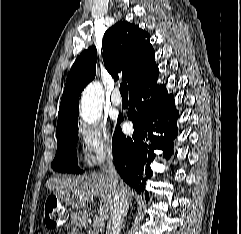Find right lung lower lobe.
Returning <instances> with one entry per match:
<instances>
[{"mask_svg":"<svg viewBox=\"0 0 241 234\" xmlns=\"http://www.w3.org/2000/svg\"><path fill=\"white\" fill-rule=\"evenodd\" d=\"M158 67L145 80L129 91L128 119L133 122L134 133L126 137L118 125L112 140L115 166L122 179L139 194L145 191L147 179L152 175L150 164L155 149L163 150V156L172 154L173 139L177 136L178 111L173 94L168 95L165 85H158ZM170 98V100H169ZM153 132L165 133L155 136ZM148 198V192L145 191Z\"/></svg>","mask_w":241,"mask_h":234,"instance_id":"obj_1","label":"right lung lower lobe"}]
</instances>
